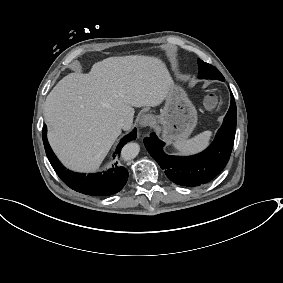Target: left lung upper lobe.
Masks as SVG:
<instances>
[{"mask_svg": "<svg viewBox=\"0 0 283 283\" xmlns=\"http://www.w3.org/2000/svg\"><path fill=\"white\" fill-rule=\"evenodd\" d=\"M199 66V79H217L224 81L223 75L212 65L203 62L201 59H198Z\"/></svg>", "mask_w": 283, "mask_h": 283, "instance_id": "obj_1", "label": "left lung upper lobe"}]
</instances>
